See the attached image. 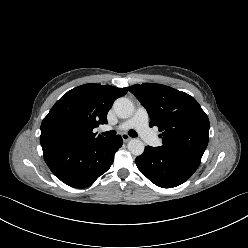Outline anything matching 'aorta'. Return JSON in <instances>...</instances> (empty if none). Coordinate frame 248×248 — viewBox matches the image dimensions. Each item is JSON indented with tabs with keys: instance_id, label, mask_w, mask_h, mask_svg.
Returning a JSON list of instances; mask_svg holds the SVG:
<instances>
[{
	"instance_id": "762f6f07",
	"label": "aorta",
	"mask_w": 248,
	"mask_h": 248,
	"mask_svg": "<svg viewBox=\"0 0 248 248\" xmlns=\"http://www.w3.org/2000/svg\"><path fill=\"white\" fill-rule=\"evenodd\" d=\"M113 108L117 116L123 119L129 118L133 114V111H134V105L132 101L125 97L118 98L114 102ZM127 147L130 153L135 156L141 155L144 151L143 142L136 138L131 139L128 142Z\"/></svg>"
}]
</instances>
